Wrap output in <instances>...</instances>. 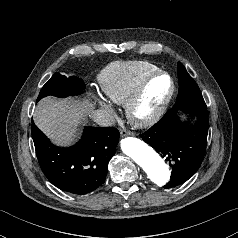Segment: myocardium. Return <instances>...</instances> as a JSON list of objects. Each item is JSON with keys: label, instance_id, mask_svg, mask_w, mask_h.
Listing matches in <instances>:
<instances>
[{"label": "myocardium", "instance_id": "obj_1", "mask_svg": "<svg viewBox=\"0 0 238 238\" xmlns=\"http://www.w3.org/2000/svg\"><path fill=\"white\" fill-rule=\"evenodd\" d=\"M159 77H166L170 83L169 92L161 106L150 116L141 118L136 115V109L142 100L148 85ZM175 93V83L171 75L164 71H157L147 76L136 88L125 105L126 117L131 125L136 128H149L156 124L167 112Z\"/></svg>", "mask_w": 238, "mask_h": 238}]
</instances>
